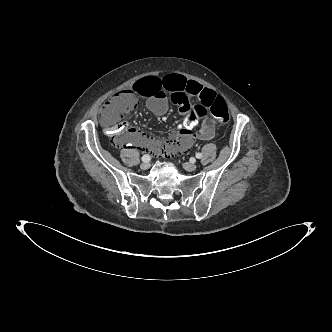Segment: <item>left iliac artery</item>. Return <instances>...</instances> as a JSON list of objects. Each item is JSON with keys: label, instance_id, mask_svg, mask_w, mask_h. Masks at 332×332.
Segmentation results:
<instances>
[{"label": "left iliac artery", "instance_id": "obj_1", "mask_svg": "<svg viewBox=\"0 0 332 332\" xmlns=\"http://www.w3.org/2000/svg\"><path fill=\"white\" fill-rule=\"evenodd\" d=\"M196 158H198V159L202 158V154L201 153H196Z\"/></svg>", "mask_w": 332, "mask_h": 332}]
</instances>
